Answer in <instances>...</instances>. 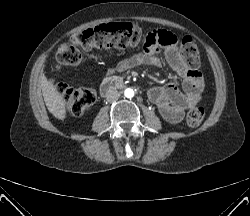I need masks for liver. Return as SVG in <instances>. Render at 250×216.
I'll list each match as a JSON object with an SVG mask.
<instances>
[{
    "mask_svg": "<svg viewBox=\"0 0 250 216\" xmlns=\"http://www.w3.org/2000/svg\"><path fill=\"white\" fill-rule=\"evenodd\" d=\"M43 98L48 111L56 118L63 120L66 116V102L56 87L48 81L45 75L40 78Z\"/></svg>",
    "mask_w": 250,
    "mask_h": 216,
    "instance_id": "liver-1",
    "label": "liver"
}]
</instances>
